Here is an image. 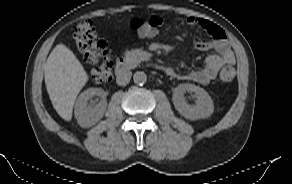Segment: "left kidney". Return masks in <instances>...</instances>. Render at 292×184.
Listing matches in <instances>:
<instances>
[{
  "label": "left kidney",
  "mask_w": 292,
  "mask_h": 184,
  "mask_svg": "<svg viewBox=\"0 0 292 184\" xmlns=\"http://www.w3.org/2000/svg\"><path fill=\"white\" fill-rule=\"evenodd\" d=\"M186 91L195 94V105L192 106L185 101L183 95ZM172 100L176 110L186 119H204L214 112L213 101L209 94L203 88L194 84L184 83L178 85L173 93Z\"/></svg>",
  "instance_id": "1"
}]
</instances>
